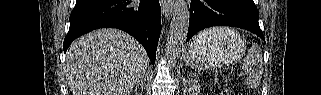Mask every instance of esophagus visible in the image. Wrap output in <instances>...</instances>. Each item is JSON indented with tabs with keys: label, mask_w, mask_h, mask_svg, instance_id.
<instances>
[{
	"label": "esophagus",
	"mask_w": 321,
	"mask_h": 95,
	"mask_svg": "<svg viewBox=\"0 0 321 95\" xmlns=\"http://www.w3.org/2000/svg\"><path fill=\"white\" fill-rule=\"evenodd\" d=\"M162 13L165 18L169 19L173 13V2L172 1H161Z\"/></svg>",
	"instance_id": "1"
}]
</instances>
